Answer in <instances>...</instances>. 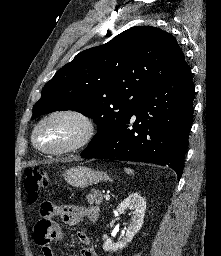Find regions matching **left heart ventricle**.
<instances>
[{
  "mask_svg": "<svg viewBox=\"0 0 221 256\" xmlns=\"http://www.w3.org/2000/svg\"><path fill=\"white\" fill-rule=\"evenodd\" d=\"M80 131V124L76 120L59 117L50 120L40 128L37 141L45 148H58L77 139Z\"/></svg>",
  "mask_w": 221,
  "mask_h": 256,
  "instance_id": "b2bd125f",
  "label": "left heart ventricle"
}]
</instances>
